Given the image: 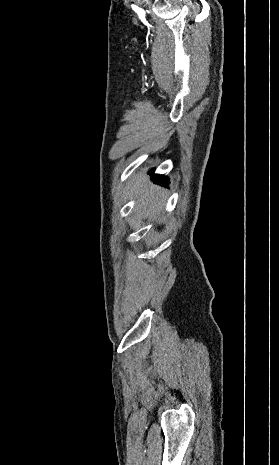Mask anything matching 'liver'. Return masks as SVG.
Instances as JSON below:
<instances>
[{
  "instance_id": "liver-1",
  "label": "liver",
  "mask_w": 279,
  "mask_h": 465,
  "mask_svg": "<svg viewBox=\"0 0 279 465\" xmlns=\"http://www.w3.org/2000/svg\"><path fill=\"white\" fill-rule=\"evenodd\" d=\"M130 198H135L134 212L140 217H159L166 201V192L161 187L148 182L147 177L138 175L132 183Z\"/></svg>"
}]
</instances>
